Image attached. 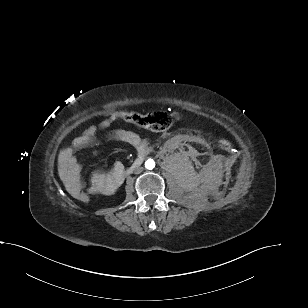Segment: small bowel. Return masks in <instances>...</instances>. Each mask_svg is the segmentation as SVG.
<instances>
[{
    "label": "small bowel",
    "mask_w": 308,
    "mask_h": 308,
    "mask_svg": "<svg viewBox=\"0 0 308 308\" xmlns=\"http://www.w3.org/2000/svg\"><path fill=\"white\" fill-rule=\"evenodd\" d=\"M118 113H112L108 118L99 123L100 128H108L118 118ZM97 127L89 126L82 135L76 137L72 144L63 148L58 155V162L62 171V176L66 182L67 189L71 195L86 190L89 194L110 195L120 186L123 181L124 166L120 162H116L112 169L108 172H94L91 176L90 184L85 187L81 179V166L74 155V150L83 146L92 144L95 141V133ZM111 136L131 145L137 149H143L147 141L140 137L137 133L118 129L111 133Z\"/></svg>",
    "instance_id": "1"
}]
</instances>
